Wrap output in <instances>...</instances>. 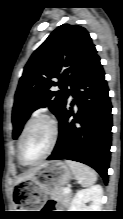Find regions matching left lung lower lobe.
I'll list each match as a JSON object with an SVG mask.
<instances>
[{
    "mask_svg": "<svg viewBox=\"0 0 123 219\" xmlns=\"http://www.w3.org/2000/svg\"><path fill=\"white\" fill-rule=\"evenodd\" d=\"M100 58L94 57L71 86L74 97L59 116V137L47 160L67 159L95 169L105 183L110 162L112 105ZM76 104L78 111L73 112ZM70 116L74 119L69 120Z\"/></svg>",
    "mask_w": 123,
    "mask_h": 219,
    "instance_id": "left-lung-lower-lobe-1",
    "label": "left lung lower lobe"
}]
</instances>
